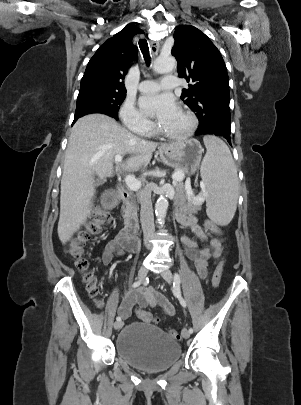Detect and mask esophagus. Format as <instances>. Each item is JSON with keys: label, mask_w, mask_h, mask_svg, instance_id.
<instances>
[{"label": "esophagus", "mask_w": 301, "mask_h": 405, "mask_svg": "<svg viewBox=\"0 0 301 405\" xmlns=\"http://www.w3.org/2000/svg\"><path fill=\"white\" fill-rule=\"evenodd\" d=\"M150 47H151L152 54L154 56H156L158 54V51H159V43L151 41L150 42Z\"/></svg>", "instance_id": "1"}]
</instances>
